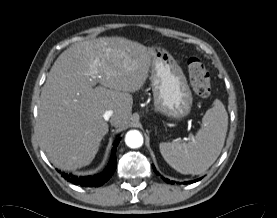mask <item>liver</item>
<instances>
[{
  "mask_svg": "<svg viewBox=\"0 0 277 218\" xmlns=\"http://www.w3.org/2000/svg\"><path fill=\"white\" fill-rule=\"evenodd\" d=\"M153 55V48L121 37L83 41L60 54L38 106V135L53 164L74 170L93 161L108 132L105 111H113L112 126L129 123L130 93L146 82Z\"/></svg>",
  "mask_w": 277,
  "mask_h": 218,
  "instance_id": "6515ba94",
  "label": "liver"
}]
</instances>
